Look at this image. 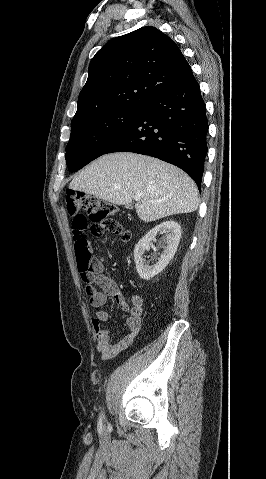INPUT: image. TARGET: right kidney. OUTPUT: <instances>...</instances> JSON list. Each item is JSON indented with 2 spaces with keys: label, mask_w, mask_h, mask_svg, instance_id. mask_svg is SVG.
Here are the masks:
<instances>
[{
  "label": "right kidney",
  "mask_w": 266,
  "mask_h": 479,
  "mask_svg": "<svg viewBox=\"0 0 266 479\" xmlns=\"http://www.w3.org/2000/svg\"><path fill=\"white\" fill-rule=\"evenodd\" d=\"M162 231H166V236L164 243L166 245L163 254L161 255L159 261L149 266L146 264L145 259L143 258L145 250H148L150 247L151 241L156 237V235ZM181 238V227L175 221H165L161 224L155 226L151 229L135 246L134 249V261L136 264V270L139 276L144 280H150L157 274H159L173 259L179 241Z\"/></svg>",
  "instance_id": "ca27d5eb"
}]
</instances>
